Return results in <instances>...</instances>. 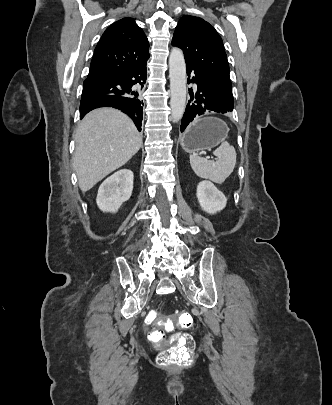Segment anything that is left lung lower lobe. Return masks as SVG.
<instances>
[{
	"instance_id": "1",
	"label": "left lung lower lobe",
	"mask_w": 332,
	"mask_h": 405,
	"mask_svg": "<svg viewBox=\"0 0 332 405\" xmlns=\"http://www.w3.org/2000/svg\"><path fill=\"white\" fill-rule=\"evenodd\" d=\"M187 75L193 74L192 80L197 85L196 91L190 89V100L187 104L186 111L181 120V132L187 125L193 121L196 116L202 115L205 112L212 110L215 112L226 113L232 110L224 108L216 99L213 89L210 87L205 77L194 68L186 65ZM189 80V78H188Z\"/></svg>"
}]
</instances>
